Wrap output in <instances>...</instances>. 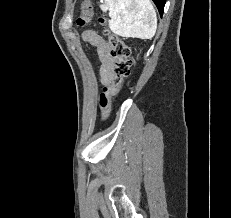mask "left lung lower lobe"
<instances>
[{
  "instance_id": "1",
  "label": "left lung lower lobe",
  "mask_w": 231,
  "mask_h": 218,
  "mask_svg": "<svg viewBox=\"0 0 231 218\" xmlns=\"http://www.w3.org/2000/svg\"><path fill=\"white\" fill-rule=\"evenodd\" d=\"M153 2L155 3V5L157 6L160 15L162 16L163 14V9H164V5L166 0H153Z\"/></svg>"
}]
</instances>
